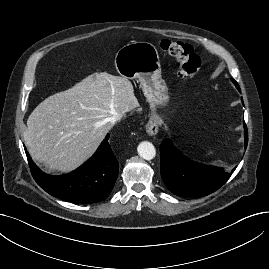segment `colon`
<instances>
[{"label":"colon","instance_id":"5ec220e1","mask_svg":"<svg viewBox=\"0 0 269 269\" xmlns=\"http://www.w3.org/2000/svg\"><path fill=\"white\" fill-rule=\"evenodd\" d=\"M160 48L178 61L181 76L187 79L195 77L200 67V59L190 45L163 39L160 41Z\"/></svg>","mask_w":269,"mask_h":269}]
</instances>
